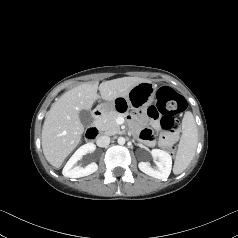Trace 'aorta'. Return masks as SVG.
Returning a JSON list of instances; mask_svg holds the SVG:
<instances>
[{
	"mask_svg": "<svg viewBox=\"0 0 238 238\" xmlns=\"http://www.w3.org/2000/svg\"><path fill=\"white\" fill-rule=\"evenodd\" d=\"M117 142H118L119 145H124L125 142H126V139L124 137H119L117 139Z\"/></svg>",
	"mask_w": 238,
	"mask_h": 238,
	"instance_id": "obj_1",
	"label": "aorta"
}]
</instances>
